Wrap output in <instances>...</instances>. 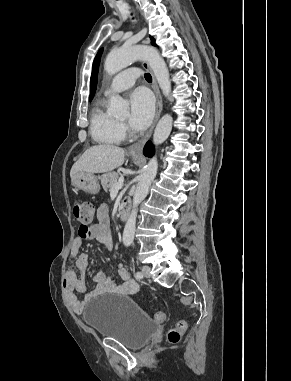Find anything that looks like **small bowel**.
I'll return each mask as SVG.
<instances>
[{"instance_id":"1","label":"small bowel","mask_w":291,"mask_h":381,"mask_svg":"<svg viewBox=\"0 0 291 381\" xmlns=\"http://www.w3.org/2000/svg\"><path fill=\"white\" fill-rule=\"evenodd\" d=\"M98 222L92 223L86 229L79 228L78 235L73 241L71 249V259L75 267L81 273L78 276L74 269H67L64 277V290L66 298L75 313H82L88 302L106 293L124 296L135 295L139 291V284L130 277L128 270L123 264L117 267V274L122 280V284L112 281L104 272L95 275L96 288L86 293L85 273L89 267V257L79 251L84 240H96L103 244L108 250H112L113 241L109 229V218L106 206H100L97 211ZM76 293H84L80 300Z\"/></svg>"}]
</instances>
